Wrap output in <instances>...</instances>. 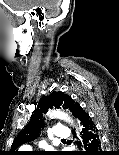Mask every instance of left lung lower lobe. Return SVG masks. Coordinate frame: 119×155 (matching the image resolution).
Wrapping results in <instances>:
<instances>
[{
	"mask_svg": "<svg viewBox=\"0 0 119 155\" xmlns=\"http://www.w3.org/2000/svg\"><path fill=\"white\" fill-rule=\"evenodd\" d=\"M74 115L81 124V135L83 139L82 145L79 144L82 151L76 155H102L98 130L89 115L78 103L75 107Z\"/></svg>",
	"mask_w": 119,
	"mask_h": 155,
	"instance_id": "obj_1",
	"label": "left lung lower lobe"
}]
</instances>
